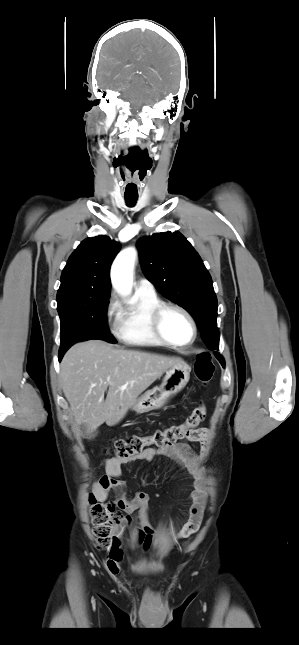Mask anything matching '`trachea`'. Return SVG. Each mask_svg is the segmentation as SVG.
Returning a JSON list of instances; mask_svg holds the SVG:
<instances>
[{
    "label": "trachea",
    "mask_w": 299,
    "mask_h": 645,
    "mask_svg": "<svg viewBox=\"0 0 299 645\" xmlns=\"http://www.w3.org/2000/svg\"><path fill=\"white\" fill-rule=\"evenodd\" d=\"M138 200V196H125L127 206L133 207Z\"/></svg>",
    "instance_id": "trachea-1"
}]
</instances>
